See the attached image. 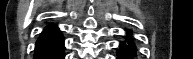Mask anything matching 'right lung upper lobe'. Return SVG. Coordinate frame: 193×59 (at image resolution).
I'll return each instance as SVG.
<instances>
[{
    "instance_id": "right-lung-upper-lobe-1",
    "label": "right lung upper lobe",
    "mask_w": 193,
    "mask_h": 59,
    "mask_svg": "<svg viewBox=\"0 0 193 59\" xmlns=\"http://www.w3.org/2000/svg\"><path fill=\"white\" fill-rule=\"evenodd\" d=\"M60 32H58V28L54 25H49L48 27H46V29L42 32V35L40 38L46 37V36H50V35H54V34H58ZM39 38V39H40Z\"/></svg>"
}]
</instances>
